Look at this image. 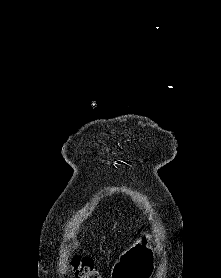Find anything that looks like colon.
I'll return each mask as SVG.
<instances>
[{
    "label": "colon",
    "instance_id": "obj_1",
    "mask_svg": "<svg viewBox=\"0 0 221 278\" xmlns=\"http://www.w3.org/2000/svg\"><path fill=\"white\" fill-rule=\"evenodd\" d=\"M70 265L76 278H103L88 257H74Z\"/></svg>",
    "mask_w": 221,
    "mask_h": 278
}]
</instances>
